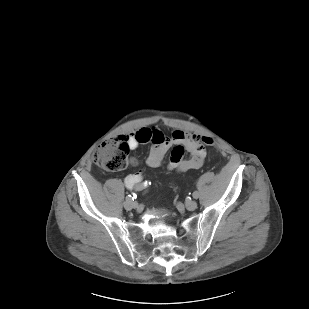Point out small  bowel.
<instances>
[{"label": "small bowel", "instance_id": "obj_1", "mask_svg": "<svg viewBox=\"0 0 309 309\" xmlns=\"http://www.w3.org/2000/svg\"><path fill=\"white\" fill-rule=\"evenodd\" d=\"M122 137L127 139L131 149L137 148L142 143L152 142L154 147L147 158V163L152 167L159 166L170 149L168 168L171 171L181 173L198 169L205 161V146L198 136L180 129H173L170 136H166L157 127H141L135 133ZM130 162L134 164L135 160L131 159ZM140 180V173H132L125 178V185L127 188H133Z\"/></svg>", "mask_w": 309, "mask_h": 309}]
</instances>
